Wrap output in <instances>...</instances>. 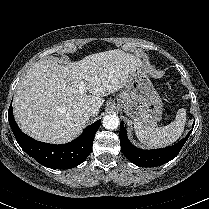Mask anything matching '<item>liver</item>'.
Wrapping results in <instances>:
<instances>
[{
	"label": "liver",
	"instance_id": "1",
	"mask_svg": "<svg viewBox=\"0 0 209 209\" xmlns=\"http://www.w3.org/2000/svg\"><path fill=\"white\" fill-rule=\"evenodd\" d=\"M142 67L139 57L119 49L91 54L65 66L55 58L42 60L17 85L14 117L21 130L36 140L67 143L89 120L85 108L93 106L99 112L103 97L124 88L131 74Z\"/></svg>",
	"mask_w": 209,
	"mask_h": 209
}]
</instances>
